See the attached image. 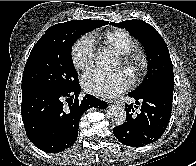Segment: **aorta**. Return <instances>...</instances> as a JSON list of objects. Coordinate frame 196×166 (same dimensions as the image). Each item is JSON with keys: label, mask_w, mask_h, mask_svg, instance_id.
I'll use <instances>...</instances> for the list:
<instances>
[{"label": "aorta", "mask_w": 196, "mask_h": 166, "mask_svg": "<svg viewBox=\"0 0 196 166\" xmlns=\"http://www.w3.org/2000/svg\"><path fill=\"white\" fill-rule=\"evenodd\" d=\"M95 62L100 67L113 68L116 65L114 54L108 50L99 51L96 54ZM108 117L116 125H122L126 120V111L123 106L111 105L107 110Z\"/></svg>", "instance_id": "obj_1"}]
</instances>
